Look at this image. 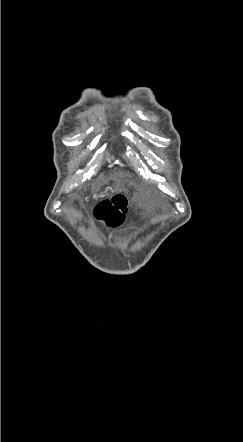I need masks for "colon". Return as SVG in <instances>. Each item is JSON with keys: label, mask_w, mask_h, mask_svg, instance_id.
<instances>
[{"label": "colon", "mask_w": 243, "mask_h": 442, "mask_svg": "<svg viewBox=\"0 0 243 442\" xmlns=\"http://www.w3.org/2000/svg\"><path fill=\"white\" fill-rule=\"evenodd\" d=\"M127 207V198L122 194H117L111 199L100 202L94 210V215L107 226L118 227L125 220Z\"/></svg>", "instance_id": "5ec220e1"}]
</instances>
